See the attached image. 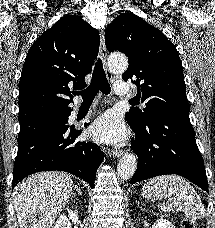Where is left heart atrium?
I'll return each mask as SVG.
<instances>
[{
  "label": "left heart atrium",
  "instance_id": "left-heart-atrium-1",
  "mask_svg": "<svg viewBox=\"0 0 215 228\" xmlns=\"http://www.w3.org/2000/svg\"><path fill=\"white\" fill-rule=\"evenodd\" d=\"M89 133L97 142L121 144L126 140L127 128L118 114L107 111L93 121Z\"/></svg>",
  "mask_w": 215,
  "mask_h": 228
}]
</instances>
